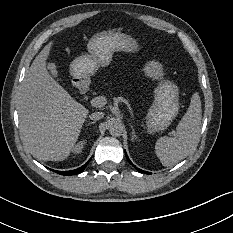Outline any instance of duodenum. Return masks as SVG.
Wrapping results in <instances>:
<instances>
[{"label": "duodenum", "instance_id": "1", "mask_svg": "<svg viewBox=\"0 0 233 233\" xmlns=\"http://www.w3.org/2000/svg\"><path fill=\"white\" fill-rule=\"evenodd\" d=\"M74 84H75V87L77 89V91L80 93V94H85L88 89H89V86H90V82L87 78L85 77H77L74 79Z\"/></svg>", "mask_w": 233, "mask_h": 233}]
</instances>
